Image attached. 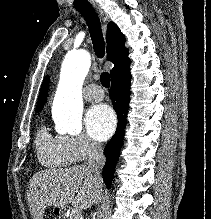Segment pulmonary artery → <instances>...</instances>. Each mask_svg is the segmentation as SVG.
Instances as JSON below:
<instances>
[{"mask_svg": "<svg viewBox=\"0 0 211 219\" xmlns=\"http://www.w3.org/2000/svg\"><path fill=\"white\" fill-rule=\"evenodd\" d=\"M84 97L89 102H99L104 97V92L97 84H90L86 87Z\"/></svg>", "mask_w": 211, "mask_h": 219, "instance_id": "obj_1", "label": "pulmonary artery"}]
</instances>
